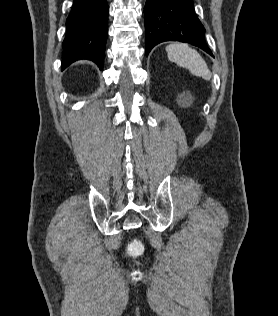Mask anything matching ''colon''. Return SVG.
Instances as JSON below:
<instances>
[{"mask_svg":"<svg viewBox=\"0 0 278 316\" xmlns=\"http://www.w3.org/2000/svg\"><path fill=\"white\" fill-rule=\"evenodd\" d=\"M142 250V245L138 241L133 242L129 247V253L133 256L140 255Z\"/></svg>","mask_w":278,"mask_h":316,"instance_id":"obj_1","label":"colon"}]
</instances>
